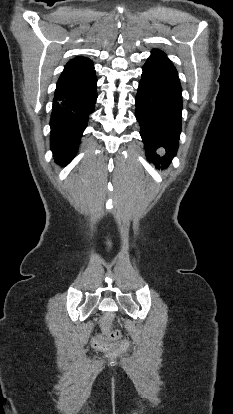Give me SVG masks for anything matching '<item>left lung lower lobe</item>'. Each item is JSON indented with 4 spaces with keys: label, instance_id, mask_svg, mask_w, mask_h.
Listing matches in <instances>:
<instances>
[{
    "label": "left lung lower lobe",
    "instance_id": "left-lung-lower-lobe-1",
    "mask_svg": "<svg viewBox=\"0 0 233 414\" xmlns=\"http://www.w3.org/2000/svg\"><path fill=\"white\" fill-rule=\"evenodd\" d=\"M135 101L147 159L165 168L178 149L182 88L176 68L162 51L153 50L144 64Z\"/></svg>",
    "mask_w": 233,
    "mask_h": 414
}]
</instances>
